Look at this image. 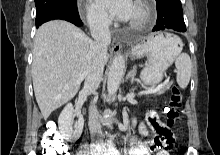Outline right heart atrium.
I'll return each mask as SVG.
<instances>
[{
    "label": "right heart atrium",
    "mask_w": 220,
    "mask_h": 155,
    "mask_svg": "<svg viewBox=\"0 0 220 155\" xmlns=\"http://www.w3.org/2000/svg\"><path fill=\"white\" fill-rule=\"evenodd\" d=\"M85 17L88 25L93 29L104 30L111 24L109 16L91 1L85 5Z\"/></svg>",
    "instance_id": "1"
}]
</instances>
